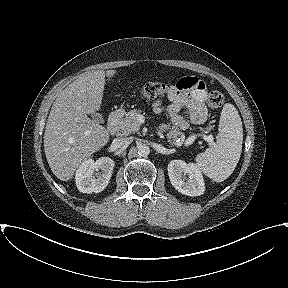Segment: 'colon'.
I'll return each mask as SVG.
<instances>
[{
	"instance_id": "obj_1",
	"label": "colon",
	"mask_w": 288,
	"mask_h": 288,
	"mask_svg": "<svg viewBox=\"0 0 288 288\" xmlns=\"http://www.w3.org/2000/svg\"><path fill=\"white\" fill-rule=\"evenodd\" d=\"M177 85L148 82L140 88V95L146 100H154L159 97L169 95L177 89ZM224 95L217 90L211 91L208 95L207 103L211 108H220L224 104Z\"/></svg>"
}]
</instances>
